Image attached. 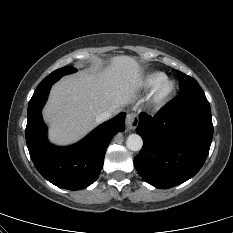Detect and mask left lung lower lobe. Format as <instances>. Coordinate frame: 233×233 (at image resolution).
<instances>
[{
	"label": "left lung lower lobe",
	"instance_id": "0a47b994",
	"mask_svg": "<svg viewBox=\"0 0 233 233\" xmlns=\"http://www.w3.org/2000/svg\"><path fill=\"white\" fill-rule=\"evenodd\" d=\"M136 132L143 138L134 158L141 177L156 188L177 186L207 158L213 136L210 104L204 92L180 93L154 117L140 113Z\"/></svg>",
	"mask_w": 233,
	"mask_h": 233
}]
</instances>
